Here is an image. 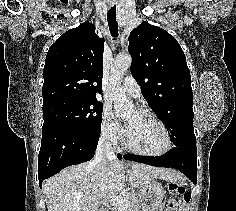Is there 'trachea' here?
<instances>
[{"label":"trachea","mask_w":236,"mask_h":211,"mask_svg":"<svg viewBox=\"0 0 236 211\" xmlns=\"http://www.w3.org/2000/svg\"><path fill=\"white\" fill-rule=\"evenodd\" d=\"M107 21H108L109 30L112 37L114 38L118 37V24L116 22V7L115 6L108 10Z\"/></svg>","instance_id":"obj_1"}]
</instances>
